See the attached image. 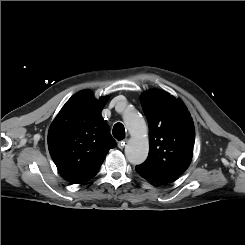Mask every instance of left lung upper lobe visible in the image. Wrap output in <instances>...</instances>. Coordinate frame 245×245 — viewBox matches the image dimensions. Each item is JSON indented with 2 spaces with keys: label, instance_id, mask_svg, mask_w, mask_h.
<instances>
[{
  "label": "left lung upper lobe",
  "instance_id": "left-lung-upper-lobe-1",
  "mask_svg": "<svg viewBox=\"0 0 245 245\" xmlns=\"http://www.w3.org/2000/svg\"><path fill=\"white\" fill-rule=\"evenodd\" d=\"M149 124V155L139 170L176 180L189 167L195 142L193 119L184 103L162 90L142 94Z\"/></svg>",
  "mask_w": 245,
  "mask_h": 245
}]
</instances>
